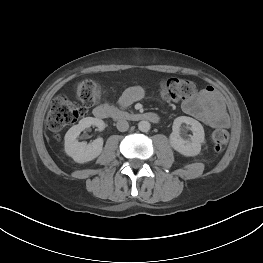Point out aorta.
<instances>
[{"mask_svg": "<svg viewBox=\"0 0 263 263\" xmlns=\"http://www.w3.org/2000/svg\"><path fill=\"white\" fill-rule=\"evenodd\" d=\"M150 128H151V124L148 121L143 120L138 123V129L141 132H148Z\"/></svg>", "mask_w": 263, "mask_h": 263, "instance_id": "762f6f07", "label": "aorta"}]
</instances>
